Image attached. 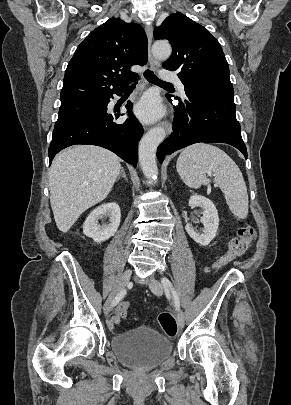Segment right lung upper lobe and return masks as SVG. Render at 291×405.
Segmentation results:
<instances>
[{
	"instance_id": "right-lung-upper-lobe-1",
	"label": "right lung upper lobe",
	"mask_w": 291,
	"mask_h": 405,
	"mask_svg": "<svg viewBox=\"0 0 291 405\" xmlns=\"http://www.w3.org/2000/svg\"><path fill=\"white\" fill-rule=\"evenodd\" d=\"M148 40L143 28L111 18L93 30L77 47L65 71L61 103L105 99L123 90L136 74L132 65H144Z\"/></svg>"
}]
</instances>
